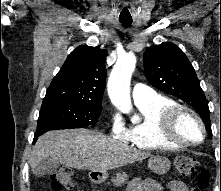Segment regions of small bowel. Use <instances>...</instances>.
Returning <instances> with one entry per match:
<instances>
[{
  "label": "small bowel",
  "mask_w": 221,
  "mask_h": 191,
  "mask_svg": "<svg viewBox=\"0 0 221 191\" xmlns=\"http://www.w3.org/2000/svg\"><path fill=\"white\" fill-rule=\"evenodd\" d=\"M169 191H189L187 185L179 180H172L167 183ZM127 191H161L159 184L150 179H133Z\"/></svg>",
  "instance_id": "1"
}]
</instances>
